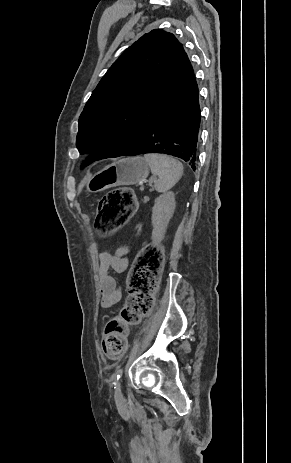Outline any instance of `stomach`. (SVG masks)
<instances>
[{"mask_svg": "<svg viewBox=\"0 0 291 463\" xmlns=\"http://www.w3.org/2000/svg\"><path fill=\"white\" fill-rule=\"evenodd\" d=\"M148 174L149 165L144 158L121 159L89 177L87 190L100 192L116 186L138 184L145 181Z\"/></svg>", "mask_w": 291, "mask_h": 463, "instance_id": "1", "label": "stomach"}]
</instances>
